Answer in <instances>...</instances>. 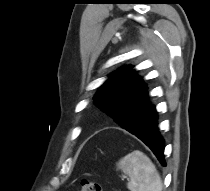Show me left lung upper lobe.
Masks as SVG:
<instances>
[{
	"label": "left lung upper lobe",
	"mask_w": 210,
	"mask_h": 191,
	"mask_svg": "<svg viewBox=\"0 0 210 191\" xmlns=\"http://www.w3.org/2000/svg\"><path fill=\"white\" fill-rule=\"evenodd\" d=\"M132 68L125 66L111 74L93 98L99 108L129 132L137 126L135 120H128L131 109L149 98L144 80Z\"/></svg>",
	"instance_id": "1"
}]
</instances>
